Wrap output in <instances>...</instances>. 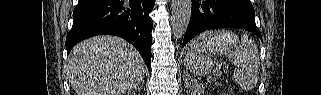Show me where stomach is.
<instances>
[{
  "label": "stomach",
  "instance_id": "obj_1",
  "mask_svg": "<svg viewBox=\"0 0 321 95\" xmlns=\"http://www.w3.org/2000/svg\"><path fill=\"white\" fill-rule=\"evenodd\" d=\"M237 43V38L230 34L224 41L213 43L208 49L214 52H226L229 51ZM204 49V45L200 47H194L193 42L189 45L190 52H200ZM211 54V53H210Z\"/></svg>",
  "mask_w": 321,
  "mask_h": 95
}]
</instances>
